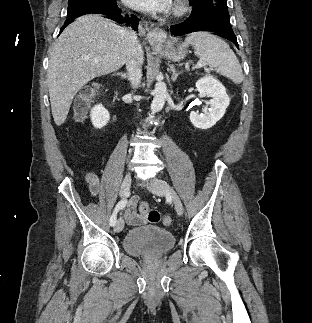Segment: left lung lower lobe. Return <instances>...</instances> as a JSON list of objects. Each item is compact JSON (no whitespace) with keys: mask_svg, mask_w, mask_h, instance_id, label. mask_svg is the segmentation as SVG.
<instances>
[{"mask_svg":"<svg viewBox=\"0 0 312 323\" xmlns=\"http://www.w3.org/2000/svg\"><path fill=\"white\" fill-rule=\"evenodd\" d=\"M216 9H220V7H216ZM170 28L171 35L174 36L185 35L198 31L213 32L220 37L234 42L237 48H239L236 36L230 24V16L227 12L218 11L206 13L198 19H187L182 23L172 25Z\"/></svg>","mask_w":312,"mask_h":323,"instance_id":"left-lung-lower-lobe-1","label":"left lung lower lobe"}]
</instances>
